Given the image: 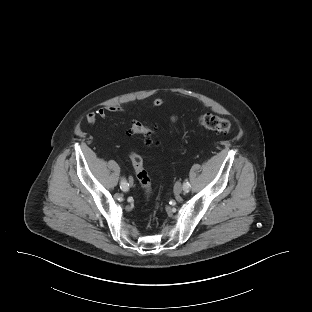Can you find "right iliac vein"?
<instances>
[{
	"mask_svg": "<svg viewBox=\"0 0 312 312\" xmlns=\"http://www.w3.org/2000/svg\"><path fill=\"white\" fill-rule=\"evenodd\" d=\"M129 183H130V185H132V184H133V180H132V178H129Z\"/></svg>",
	"mask_w": 312,
	"mask_h": 312,
	"instance_id": "63e3f726",
	"label": "right iliac vein"
}]
</instances>
